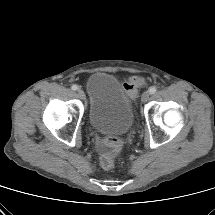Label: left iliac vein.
I'll list each match as a JSON object with an SVG mask.
<instances>
[{
    "label": "left iliac vein",
    "mask_w": 215,
    "mask_h": 215,
    "mask_svg": "<svg viewBox=\"0 0 215 215\" xmlns=\"http://www.w3.org/2000/svg\"><path fill=\"white\" fill-rule=\"evenodd\" d=\"M150 98V92L149 91H145L142 96H141V100L143 103L147 102Z\"/></svg>",
    "instance_id": "obj_1"
}]
</instances>
